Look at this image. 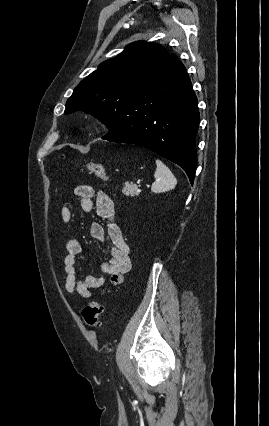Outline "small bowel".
Segmentation results:
<instances>
[{
  "label": "small bowel",
  "mask_w": 269,
  "mask_h": 426,
  "mask_svg": "<svg viewBox=\"0 0 269 426\" xmlns=\"http://www.w3.org/2000/svg\"><path fill=\"white\" fill-rule=\"evenodd\" d=\"M74 193L79 198L80 208L83 212H91L95 208L97 215L109 222L108 236L112 243V258L102 264L101 270L110 276L112 284L117 285L121 282L123 275L131 269V257L123 231L115 221L113 201L105 192L97 191L91 185H78L75 187ZM61 219L64 223H71L74 219L73 211L69 207H63ZM90 235L93 239L102 242L105 238V230L100 223L93 222L90 227ZM65 250L63 274L65 290L71 295L77 294L85 299L91 298L94 290L105 284V279L97 275L78 277L76 257L82 251V245L78 239L67 240Z\"/></svg>",
  "instance_id": "c3829d8e"
}]
</instances>
